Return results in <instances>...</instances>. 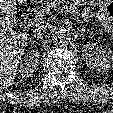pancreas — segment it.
<instances>
[{
    "label": "pancreas",
    "instance_id": "pancreas-1",
    "mask_svg": "<svg viewBox=\"0 0 113 113\" xmlns=\"http://www.w3.org/2000/svg\"><path fill=\"white\" fill-rule=\"evenodd\" d=\"M63 6L64 9L67 11L71 12L72 15L78 20L80 13L78 12V9L75 5L70 3L69 1L65 0H47L45 3H43L40 7L39 10L36 12V16H40V20H44L45 16L50 13V10L54 8L55 6Z\"/></svg>",
    "mask_w": 113,
    "mask_h": 113
}]
</instances>
